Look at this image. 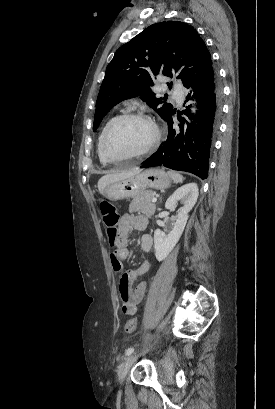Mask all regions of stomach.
I'll return each mask as SVG.
<instances>
[{"label":"stomach","mask_w":275,"mask_h":409,"mask_svg":"<svg viewBox=\"0 0 275 409\" xmlns=\"http://www.w3.org/2000/svg\"><path fill=\"white\" fill-rule=\"evenodd\" d=\"M171 178L163 168H147L139 174L122 178L116 182H110L104 188V196L109 200H121V198H134L146 188H168Z\"/></svg>","instance_id":"obj_1"}]
</instances>
